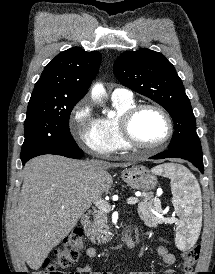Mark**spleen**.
<instances>
[{"label":"spleen","mask_w":215,"mask_h":274,"mask_svg":"<svg viewBox=\"0 0 215 274\" xmlns=\"http://www.w3.org/2000/svg\"><path fill=\"white\" fill-rule=\"evenodd\" d=\"M152 173L171 180L172 203L181 216L175 229L176 243L183 248L194 244L201 227L196 211L201 202V190L197 180L187 168L173 163L156 166Z\"/></svg>","instance_id":"spleen-1"}]
</instances>
